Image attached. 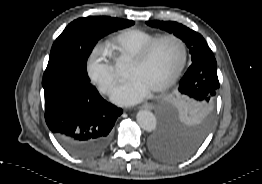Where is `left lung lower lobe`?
<instances>
[{
    "label": "left lung lower lobe",
    "instance_id": "1",
    "mask_svg": "<svg viewBox=\"0 0 262 184\" xmlns=\"http://www.w3.org/2000/svg\"><path fill=\"white\" fill-rule=\"evenodd\" d=\"M200 62L214 64L217 67L214 56L203 59ZM204 140L185 139L172 134L166 127L161 126L159 131L151 137L148 143L150 152L158 159L166 162L184 160L197 151Z\"/></svg>",
    "mask_w": 262,
    "mask_h": 184
}]
</instances>
